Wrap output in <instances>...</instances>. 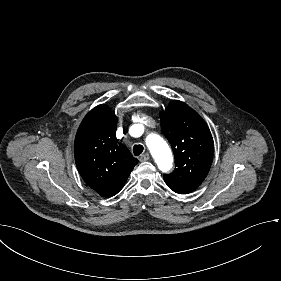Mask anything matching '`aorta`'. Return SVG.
Returning <instances> with one entry per match:
<instances>
[{
  "instance_id": "aorta-1",
  "label": "aorta",
  "mask_w": 281,
  "mask_h": 281,
  "mask_svg": "<svg viewBox=\"0 0 281 281\" xmlns=\"http://www.w3.org/2000/svg\"><path fill=\"white\" fill-rule=\"evenodd\" d=\"M149 148L159 169L166 172L172 167L173 157L168 144L157 134L149 135L146 138Z\"/></svg>"
}]
</instances>
